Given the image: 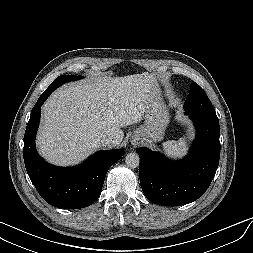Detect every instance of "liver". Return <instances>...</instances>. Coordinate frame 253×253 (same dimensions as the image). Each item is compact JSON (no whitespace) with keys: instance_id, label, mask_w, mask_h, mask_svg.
Wrapping results in <instances>:
<instances>
[{"instance_id":"liver-1","label":"liver","mask_w":253,"mask_h":253,"mask_svg":"<svg viewBox=\"0 0 253 253\" xmlns=\"http://www.w3.org/2000/svg\"><path fill=\"white\" fill-rule=\"evenodd\" d=\"M159 90L154 75L96 77L64 85L42 106V124L37 134L39 153L58 166L75 165L104 146L110 134L119 146L121 127L140 121L151 95Z\"/></svg>"}]
</instances>
